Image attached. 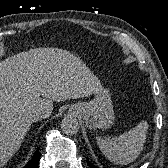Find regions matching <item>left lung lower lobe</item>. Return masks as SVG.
Wrapping results in <instances>:
<instances>
[{"mask_svg": "<svg viewBox=\"0 0 168 168\" xmlns=\"http://www.w3.org/2000/svg\"><path fill=\"white\" fill-rule=\"evenodd\" d=\"M88 165H89L91 168H96V167L94 166V164H93L92 162H90V161H88Z\"/></svg>", "mask_w": 168, "mask_h": 168, "instance_id": "0a47b994", "label": "left lung lower lobe"}]
</instances>
